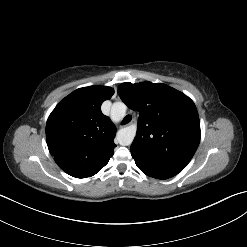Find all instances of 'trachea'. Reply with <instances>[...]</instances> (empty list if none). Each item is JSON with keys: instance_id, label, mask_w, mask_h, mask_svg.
<instances>
[{"instance_id": "trachea-1", "label": "trachea", "mask_w": 247, "mask_h": 247, "mask_svg": "<svg viewBox=\"0 0 247 247\" xmlns=\"http://www.w3.org/2000/svg\"><path fill=\"white\" fill-rule=\"evenodd\" d=\"M132 120V117L130 115H126L125 118L122 120L121 124L126 125Z\"/></svg>"}]
</instances>
